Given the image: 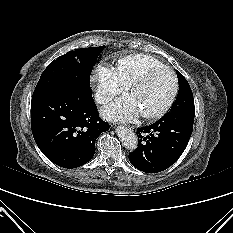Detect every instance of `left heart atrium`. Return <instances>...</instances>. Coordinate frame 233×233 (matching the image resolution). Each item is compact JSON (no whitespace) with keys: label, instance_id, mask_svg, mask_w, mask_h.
<instances>
[{"label":"left heart atrium","instance_id":"39dd6f15","mask_svg":"<svg viewBox=\"0 0 233 233\" xmlns=\"http://www.w3.org/2000/svg\"><path fill=\"white\" fill-rule=\"evenodd\" d=\"M140 113L139 105L131 94L117 99L103 110V114L109 119L120 121L133 120L137 118Z\"/></svg>","mask_w":233,"mask_h":233}]
</instances>
